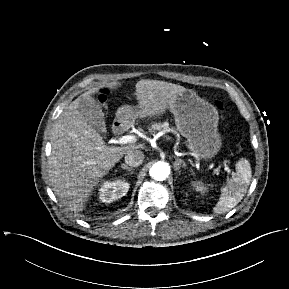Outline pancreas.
<instances>
[{
	"label": "pancreas",
	"mask_w": 289,
	"mask_h": 289,
	"mask_svg": "<svg viewBox=\"0 0 289 289\" xmlns=\"http://www.w3.org/2000/svg\"><path fill=\"white\" fill-rule=\"evenodd\" d=\"M168 129V124L164 123V124H160V123H154L152 124L151 128L149 129L150 131L154 132L155 130H161V129Z\"/></svg>",
	"instance_id": "cf45deb5"
}]
</instances>
